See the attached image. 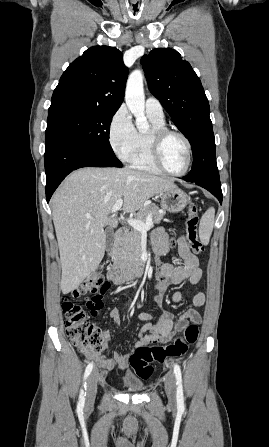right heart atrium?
<instances>
[{"instance_id": "1", "label": "right heart atrium", "mask_w": 269, "mask_h": 447, "mask_svg": "<svg viewBox=\"0 0 269 447\" xmlns=\"http://www.w3.org/2000/svg\"><path fill=\"white\" fill-rule=\"evenodd\" d=\"M136 129L125 106L113 114L108 126V142L121 160H128L135 144Z\"/></svg>"}]
</instances>
